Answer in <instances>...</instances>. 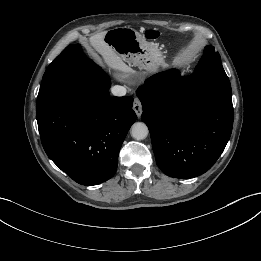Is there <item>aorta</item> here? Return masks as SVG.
<instances>
[{"instance_id":"obj_1","label":"aorta","mask_w":261,"mask_h":261,"mask_svg":"<svg viewBox=\"0 0 261 261\" xmlns=\"http://www.w3.org/2000/svg\"><path fill=\"white\" fill-rule=\"evenodd\" d=\"M148 133V127L143 122H136L131 127V136L136 140L145 139Z\"/></svg>"}]
</instances>
